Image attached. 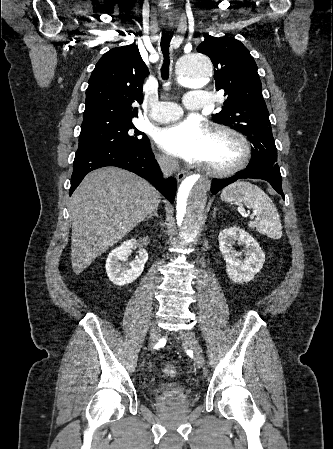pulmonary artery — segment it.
<instances>
[{
    "mask_svg": "<svg viewBox=\"0 0 333 449\" xmlns=\"http://www.w3.org/2000/svg\"><path fill=\"white\" fill-rule=\"evenodd\" d=\"M210 95L202 90H192L184 96V105L188 109L198 110L208 106ZM182 115V108L174 102H158L152 105L150 116L157 122H169Z\"/></svg>",
    "mask_w": 333,
    "mask_h": 449,
    "instance_id": "pulmonary-artery-1",
    "label": "pulmonary artery"
}]
</instances>
